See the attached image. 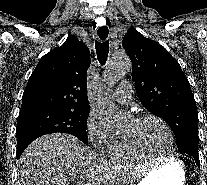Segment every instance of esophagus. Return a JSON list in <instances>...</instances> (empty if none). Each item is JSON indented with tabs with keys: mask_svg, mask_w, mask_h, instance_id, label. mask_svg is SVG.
Segmentation results:
<instances>
[{
	"mask_svg": "<svg viewBox=\"0 0 207 185\" xmlns=\"http://www.w3.org/2000/svg\"><path fill=\"white\" fill-rule=\"evenodd\" d=\"M105 19H98V24H103V25H98V30H109V25H105ZM95 33V38H108V33ZM102 42H105V39H102Z\"/></svg>",
	"mask_w": 207,
	"mask_h": 185,
	"instance_id": "obj_1",
	"label": "esophagus"
}]
</instances>
